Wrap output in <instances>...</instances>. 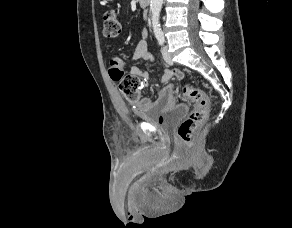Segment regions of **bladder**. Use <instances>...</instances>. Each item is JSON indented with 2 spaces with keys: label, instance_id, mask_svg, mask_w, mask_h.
<instances>
[{
  "label": "bladder",
  "instance_id": "bladder-1",
  "mask_svg": "<svg viewBox=\"0 0 292 228\" xmlns=\"http://www.w3.org/2000/svg\"><path fill=\"white\" fill-rule=\"evenodd\" d=\"M188 113V107L179 104L158 115L143 116L142 120L155 127L168 130L183 119Z\"/></svg>",
  "mask_w": 292,
  "mask_h": 228
}]
</instances>
